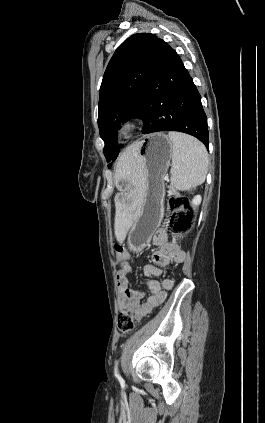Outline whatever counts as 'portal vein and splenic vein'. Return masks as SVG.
I'll return each instance as SVG.
<instances>
[{
	"instance_id": "18ae733b",
	"label": "portal vein and splenic vein",
	"mask_w": 265,
	"mask_h": 423,
	"mask_svg": "<svg viewBox=\"0 0 265 423\" xmlns=\"http://www.w3.org/2000/svg\"><path fill=\"white\" fill-rule=\"evenodd\" d=\"M165 180H166V181H169V178H168V176H166V177H165Z\"/></svg>"
}]
</instances>
